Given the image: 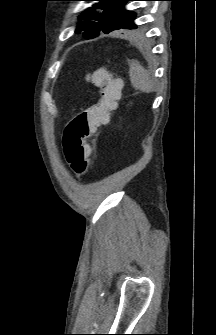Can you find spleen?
<instances>
[{"label":"spleen","mask_w":216,"mask_h":335,"mask_svg":"<svg viewBox=\"0 0 216 335\" xmlns=\"http://www.w3.org/2000/svg\"><path fill=\"white\" fill-rule=\"evenodd\" d=\"M129 76L131 84L135 89L144 93H150L154 90V81L150 73L138 61H131Z\"/></svg>","instance_id":"obj_1"}]
</instances>
